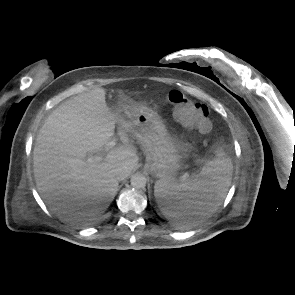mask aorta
Here are the masks:
<instances>
[{
    "label": "aorta",
    "instance_id": "1",
    "mask_svg": "<svg viewBox=\"0 0 295 295\" xmlns=\"http://www.w3.org/2000/svg\"><path fill=\"white\" fill-rule=\"evenodd\" d=\"M130 182H131L132 187H134L136 189H141V188H144L146 186L147 179L143 174L135 173L131 177Z\"/></svg>",
    "mask_w": 295,
    "mask_h": 295
}]
</instances>
